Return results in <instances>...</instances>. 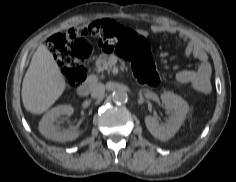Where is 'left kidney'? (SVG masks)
I'll return each instance as SVG.
<instances>
[{
  "label": "left kidney",
  "mask_w": 236,
  "mask_h": 182,
  "mask_svg": "<svg viewBox=\"0 0 236 182\" xmlns=\"http://www.w3.org/2000/svg\"><path fill=\"white\" fill-rule=\"evenodd\" d=\"M161 100L170 114L169 121L160 124L155 117L146 116L145 124L155 138L166 141L180 129L189 111V105L184 99L172 92L162 93Z\"/></svg>",
  "instance_id": "5707ae66"
}]
</instances>
